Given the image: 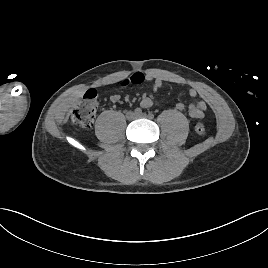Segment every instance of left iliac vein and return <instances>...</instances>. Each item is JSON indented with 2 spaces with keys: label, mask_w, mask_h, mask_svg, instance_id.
I'll list each match as a JSON object with an SVG mask.
<instances>
[{
  "label": "left iliac vein",
  "mask_w": 268,
  "mask_h": 268,
  "mask_svg": "<svg viewBox=\"0 0 268 268\" xmlns=\"http://www.w3.org/2000/svg\"><path fill=\"white\" fill-rule=\"evenodd\" d=\"M138 118H149L148 115H146L145 113H141L139 115H137Z\"/></svg>",
  "instance_id": "left-iliac-vein-1"
}]
</instances>
